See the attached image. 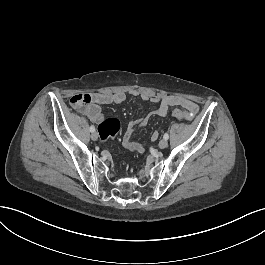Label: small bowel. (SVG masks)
Segmentation results:
<instances>
[{
  "label": "small bowel",
  "mask_w": 265,
  "mask_h": 265,
  "mask_svg": "<svg viewBox=\"0 0 265 265\" xmlns=\"http://www.w3.org/2000/svg\"><path fill=\"white\" fill-rule=\"evenodd\" d=\"M91 98V97H90ZM140 98L144 101L158 104L157 108L148 116L132 120L127 124L126 130L122 136V144L123 146L135 153H143L144 152V145L142 142L133 141L132 135L138 128L144 127L147 125L150 116L158 115V116H165L168 113L167 110V103L169 101H176L178 106L183 107L185 112L188 116V120H191L195 114L199 110V106L196 102L182 96L178 95H151L148 93H141ZM126 100V94L123 91H116L113 93L108 92H97L94 93L92 96V102L86 106H83L80 109V112L86 116L91 122L99 123L102 118V105H110V104H120ZM159 136V132L157 130L153 131L151 134V141L155 142Z\"/></svg>",
  "instance_id": "obj_1"
}]
</instances>
